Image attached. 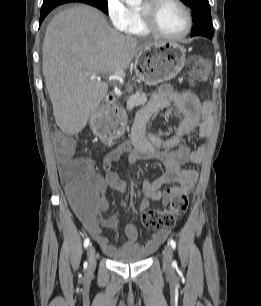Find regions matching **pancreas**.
Listing matches in <instances>:
<instances>
[{"instance_id":"obj_1","label":"pancreas","mask_w":261,"mask_h":306,"mask_svg":"<svg viewBox=\"0 0 261 306\" xmlns=\"http://www.w3.org/2000/svg\"><path fill=\"white\" fill-rule=\"evenodd\" d=\"M147 102V94L141 90L136 91L127 99V109L131 110L135 106L144 105Z\"/></svg>"}]
</instances>
